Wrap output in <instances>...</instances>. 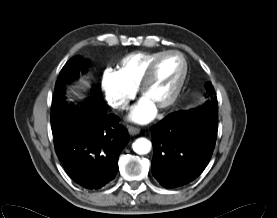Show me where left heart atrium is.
Wrapping results in <instances>:
<instances>
[{"label": "left heart atrium", "instance_id": "obj_1", "mask_svg": "<svg viewBox=\"0 0 277 218\" xmlns=\"http://www.w3.org/2000/svg\"><path fill=\"white\" fill-rule=\"evenodd\" d=\"M156 111V106L143 96L132 108L129 118L137 123H147L155 117Z\"/></svg>", "mask_w": 277, "mask_h": 218}]
</instances>
